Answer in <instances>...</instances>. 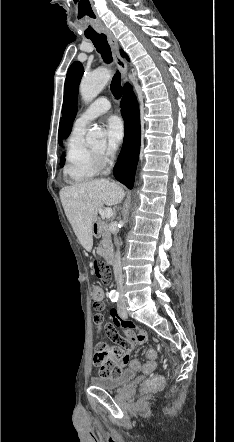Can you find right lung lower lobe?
Here are the masks:
<instances>
[{"label": "right lung lower lobe", "instance_id": "1", "mask_svg": "<svg viewBox=\"0 0 234 442\" xmlns=\"http://www.w3.org/2000/svg\"><path fill=\"white\" fill-rule=\"evenodd\" d=\"M121 110L125 120V135L113 174L118 181L132 189L140 149V119L136 96L129 84L124 86Z\"/></svg>", "mask_w": 234, "mask_h": 442}]
</instances>
